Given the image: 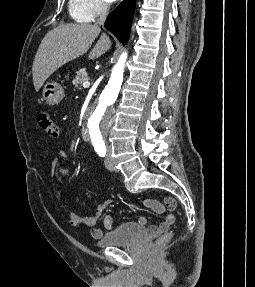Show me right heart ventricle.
Returning a JSON list of instances; mask_svg holds the SVG:
<instances>
[{
    "instance_id": "right-heart-ventricle-1",
    "label": "right heart ventricle",
    "mask_w": 255,
    "mask_h": 287,
    "mask_svg": "<svg viewBox=\"0 0 255 287\" xmlns=\"http://www.w3.org/2000/svg\"><path fill=\"white\" fill-rule=\"evenodd\" d=\"M86 33H99V32H86Z\"/></svg>"
}]
</instances>
